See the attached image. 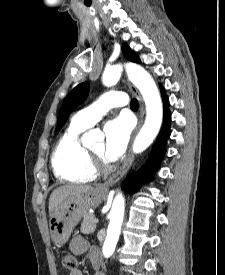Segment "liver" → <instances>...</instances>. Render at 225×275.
Returning a JSON list of instances; mask_svg holds the SVG:
<instances>
[{
  "label": "liver",
  "instance_id": "1",
  "mask_svg": "<svg viewBox=\"0 0 225 275\" xmlns=\"http://www.w3.org/2000/svg\"><path fill=\"white\" fill-rule=\"evenodd\" d=\"M92 189L90 185H66L56 188L49 198V214L51 215L58 204L65 198L84 194Z\"/></svg>",
  "mask_w": 225,
  "mask_h": 275
}]
</instances>
